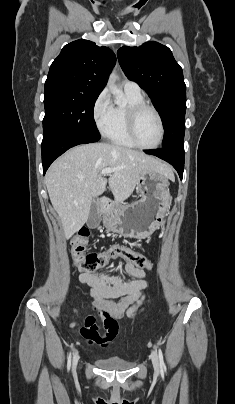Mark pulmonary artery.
I'll list each match as a JSON object with an SVG mask.
<instances>
[{
    "label": "pulmonary artery",
    "mask_w": 235,
    "mask_h": 404,
    "mask_svg": "<svg viewBox=\"0 0 235 404\" xmlns=\"http://www.w3.org/2000/svg\"><path fill=\"white\" fill-rule=\"evenodd\" d=\"M123 88L126 92L141 93L139 85L133 81L126 80L123 82Z\"/></svg>",
    "instance_id": "e3ab8cb5"
}]
</instances>
